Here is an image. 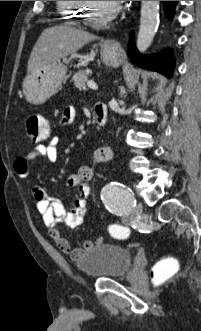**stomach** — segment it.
I'll list each match as a JSON object with an SVG mask.
<instances>
[{
    "mask_svg": "<svg viewBox=\"0 0 201 331\" xmlns=\"http://www.w3.org/2000/svg\"><path fill=\"white\" fill-rule=\"evenodd\" d=\"M101 59L113 67L121 62L120 53L106 45L101 47ZM67 67L60 61L41 68L38 72L26 76L23 92L27 100L33 104H42L55 94L65 80Z\"/></svg>",
    "mask_w": 201,
    "mask_h": 331,
    "instance_id": "obj_1",
    "label": "stomach"
}]
</instances>
